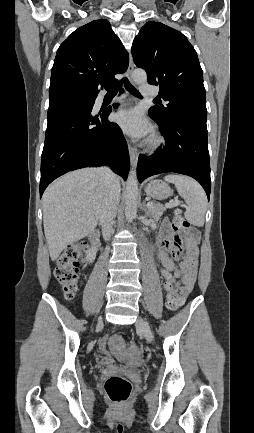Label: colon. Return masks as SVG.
<instances>
[{
  "label": "colon",
  "mask_w": 254,
  "mask_h": 433,
  "mask_svg": "<svg viewBox=\"0 0 254 433\" xmlns=\"http://www.w3.org/2000/svg\"><path fill=\"white\" fill-rule=\"evenodd\" d=\"M172 223L176 229L186 231L188 235L195 236L197 232L185 220L180 211H175ZM82 259V248L71 246L62 252L58 259L55 270L56 278L62 286L63 293L67 299H72L79 290L81 284L79 265ZM182 304L178 290L171 288L168 290L167 306L171 310H176ZM111 344L117 348L122 346V340L114 336L110 340ZM125 360L132 365L141 363L139 353H129ZM104 390L108 398L114 403L125 402L132 391L131 383L120 376L109 377L104 384Z\"/></svg>",
  "instance_id": "colon-1"
}]
</instances>
